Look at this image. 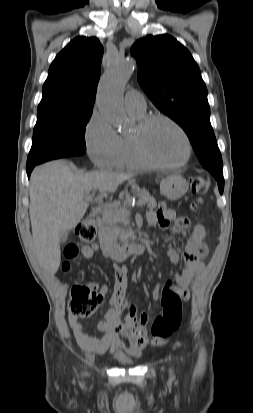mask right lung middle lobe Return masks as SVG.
<instances>
[{
    "instance_id": "1",
    "label": "right lung middle lobe",
    "mask_w": 253,
    "mask_h": 413,
    "mask_svg": "<svg viewBox=\"0 0 253 413\" xmlns=\"http://www.w3.org/2000/svg\"><path fill=\"white\" fill-rule=\"evenodd\" d=\"M92 112L52 111L37 114L27 166L83 155L86 151L85 128Z\"/></svg>"
}]
</instances>
